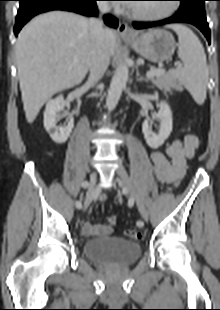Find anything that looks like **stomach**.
I'll return each mask as SVG.
<instances>
[{
  "mask_svg": "<svg viewBox=\"0 0 220 310\" xmlns=\"http://www.w3.org/2000/svg\"><path fill=\"white\" fill-rule=\"evenodd\" d=\"M134 50L148 61L159 63L169 59L176 48L173 35L162 29L150 30L132 38L123 37Z\"/></svg>",
  "mask_w": 220,
  "mask_h": 310,
  "instance_id": "obj_1",
  "label": "stomach"
}]
</instances>
